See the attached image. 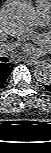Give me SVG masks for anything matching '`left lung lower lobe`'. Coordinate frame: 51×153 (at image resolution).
I'll return each instance as SVG.
<instances>
[{
	"label": "left lung lower lobe",
	"mask_w": 51,
	"mask_h": 153,
	"mask_svg": "<svg viewBox=\"0 0 51 153\" xmlns=\"http://www.w3.org/2000/svg\"><path fill=\"white\" fill-rule=\"evenodd\" d=\"M51 92V84L44 85Z\"/></svg>",
	"instance_id": "1"
}]
</instances>
